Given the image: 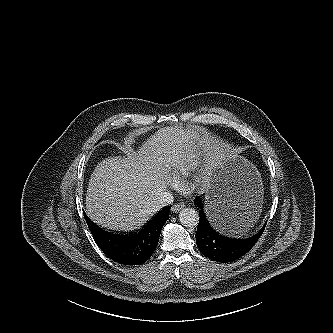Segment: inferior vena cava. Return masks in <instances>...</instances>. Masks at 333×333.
<instances>
[{
    "label": "inferior vena cava",
    "mask_w": 333,
    "mask_h": 333,
    "mask_svg": "<svg viewBox=\"0 0 333 333\" xmlns=\"http://www.w3.org/2000/svg\"><path fill=\"white\" fill-rule=\"evenodd\" d=\"M173 195L170 192L163 191L159 194V196L155 199V208L157 210L171 205L173 203Z\"/></svg>",
    "instance_id": "inferior-vena-cava-1"
}]
</instances>
